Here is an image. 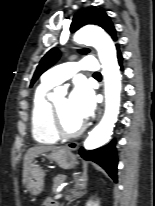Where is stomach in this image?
Returning <instances> with one entry per match:
<instances>
[{
	"label": "stomach",
	"mask_w": 155,
	"mask_h": 206,
	"mask_svg": "<svg viewBox=\"0 0 155 206\" xmlns=\"http://www.w3.org/2000/svg\"><path fill=\"white\" fill-rule=\"evenodd\" d=\"M47 157L63 169H70L78 163L76 156L66 148L54 150ZM43 186L44 172L38 165L33 164L29 171L26 188L32 195H39L43 190Z\"/></svg>",
	"instance_id": "1"
}]
</instances>
